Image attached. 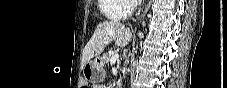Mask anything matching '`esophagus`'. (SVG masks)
I'll return each instance as SVG.
<instances>
[{
  "instance_id": "obj_1",
  "label": "esophagus",
  "mask_w": 227,
  "mask_h": 88,
  "mask_svg": "<svg viewBox=\"0 0 227 88\" xmlns=\"http://www.w3.org/2000/svg\"><path fill=\"white\" fill-rule=\"evenodd\" d=\"M151 0L148 2V4L145 6V9H144V11L142 12V14H141V18H143L144 16H145V14L148 12V10H149V8H150V6H151Z\"/></svg>"
}]
</instances>
